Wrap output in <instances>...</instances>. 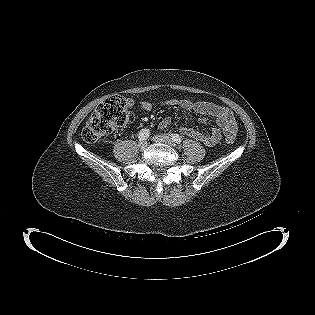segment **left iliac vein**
<instances>
[{
	"label": "left iliac vein",
	"mask_w": 315,
	"mask_h": 315,
	"mask_svg": "<svg viewBox=\"0 0 315 315\" xmlns=\"http://www.w3.org/2000/svg\"><path fill=\"white\" fill-rule=\"evenodd\" d=\"M152 139L155 142L165 143L173 147L175 146L172 138H170L168 135H165V134L156 135Z\"/></svg>",
	"instance_id": "4c4485c4"
}]
</instances>
